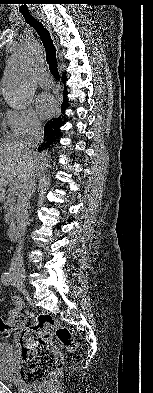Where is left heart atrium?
I'll return each instance as SVG.
<instances>
[{
    "instance_id": "39dd6f15",
    "label": "left heart atrium",
    "mask_w": 153,
    "mask_h": 393,
    "mask_svg": "<svg viewBox=\"0 0 153 393\" xmlns=\"http://www.w3.org/2000/svg\"><path fill=\"white\" fill-rule=\"evenodd\" d=\"M36 105L38 113L43 118L51 116L56 109L55 98L49 93L40 94L37 98Z\"/></svg>"
}]
</instances>
